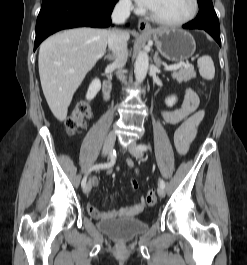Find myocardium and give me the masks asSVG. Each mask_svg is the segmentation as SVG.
I'll return each mask as SVG.
<instances>
[{
  "mask_svg": "<svg viewBox=\"0 0 247 265\" xmlns=\"http://www.w3.org/2000/svg\"><path fill=\"white\" fill-rule=\"evenodd\" d=\"M192 4H193V7H192V11L190 12V14L188 16L184 17L183 19H180V20L164 19V18L158 16L157 14H155L154 12H152L151 10L148 11V15L150 16V18L153 21H155L156 23H158L160 25H163L166 27H179V26H183V25L190 23L199 14L200 1L199 0H192Z\"/></svg>",
  "mask_w": 247,
  "mask_h": 265,
  "instance_id": "f54148a6",
  "label": "myocardium"
}]
</instances>
